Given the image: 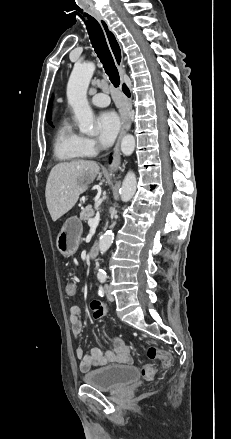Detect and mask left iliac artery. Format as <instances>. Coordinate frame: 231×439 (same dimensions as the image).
I'll list each match as a JSON object with an SVG mask.
<instances>
[{
	"label": "left iliac artery",
	"instance_id": "44dca946",
	"mask_svg": "<svg viewBox=\"0 0 231 439\" xmlns=\"http://www.w3.org/2000/svg\"><path fill=\"white\" fill-rule=\"evenodd\" d=\"M99 279H100L101 282H105L106 281V276H100Z\"/></svg>",
	"mask_w": 231,
	"mask_h": 439
}]
</instances>
